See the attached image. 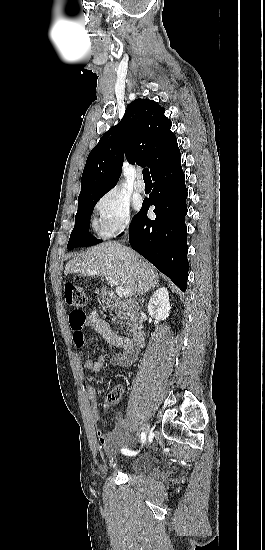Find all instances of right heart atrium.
<instances>
[{
  "mask_svg": "<svg viewBox=\"0 0 265 550\" xmlns=\"http://www.w3.org/2000/svg\"><path fill=\"white\" fill-rule=\"evenodd\" d=\"M95 211L98 215V231L104 237H112L130 226V204L115 188L98 199Z\"/></svg>",
  "mask_w": 265,
  "mask_h": 550,
  "instance_id": "obj_1",
  "label": "right heart atrium"
}]
</instances>
